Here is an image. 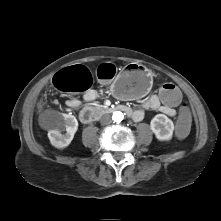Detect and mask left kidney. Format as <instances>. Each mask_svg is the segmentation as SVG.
<instances>
[{"instance_id":"left-kidney-1","label":"left kidney","mask_w":221,"mask_h":221,"mask_svg":"<svg viewBox=\"0 0 221 221\" xmlns=\"http://www.w3.org/2000/svg\"><path fill=\"white\" fill-rule=\"evenodd\" d=\"M150 129L160 141H169L172 138L174 124L164 114H157L150 122Z\"/></svg>"}]
</instances>
